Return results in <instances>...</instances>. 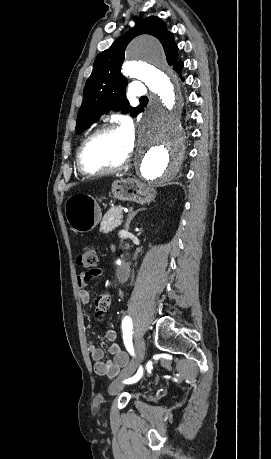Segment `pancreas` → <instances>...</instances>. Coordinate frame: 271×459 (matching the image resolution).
<instances>
[{"label": "pancreas", "mask_w": 271, "mask_h": 459, "mask_svg": "<svg viewBox=\"0 0 271 459\" xmlns=\"http://www.w3.org/2000/svg\"><path fill=\"white\" fill-rule=\"evenodd\" d=\"M118 214H123L122 206H117V208H111V210H109V212L105 214L100 224V231L108 233V231H112V229L117 228V226H120L122 219L118 218Z\"/></svg>", "instance_id": "1"}]
</instances>
